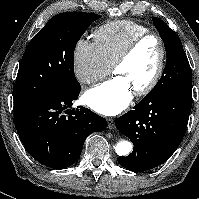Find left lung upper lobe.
Instances as JSON below:
<instances>
[{"label":"left lung upper lobe","mask_w":199,"mask_h":199,"mask_svg":"<svg viewBox=\"0 0 199 199\" xmlns=\"http://www.w3.org/2000/svg\"><path fill=\"white\" fill-rule=\"evenodd\" d=\"M164 42L167 62L155 87L143 98H157L176 90H191V68L179 36L160 18H152Z\"/></svg>","instance_id":"5c2ea615"}]
</instances>
